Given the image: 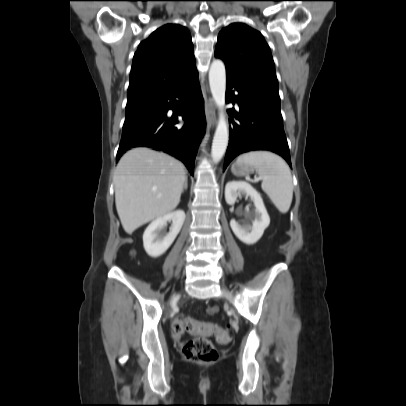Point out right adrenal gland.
I'll use <instances>...</instances> for the list:
<instances>
[{"instance_id":"1","label":"right adrenal gland","mask_w":406,"mask_h":406,"mask_svg":"<svg viewBox=\"0 0 406 406\" xmlns=\"http://www.w3.org/2000/svg\"><path fill=\"white\" fill-rule=\"evenodd\" d=\"M187 187H188V177L186 176V177H185V182H184V186H183L182 192H183L184 190H186Z\"/></svg>"}]
</instances>
